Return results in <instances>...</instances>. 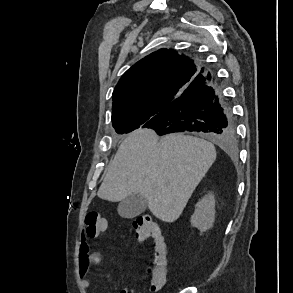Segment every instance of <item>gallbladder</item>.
Returning <instances> with one entry per match:
<instances>
[{"instance_id":"gallbladder-1","label":"gallbladder","mask_w":293,"mask_h":293,"mask_svg":"<svg viewBox=\"0 0 293 293\" xmlns=\"http://www.w3.org/2000/svg\"><path fill=\"white\" fill-rule=\"evenodd\" d=\"M148 207V201L145 196L134 193L122 200L118 205V214L126 219L134 218L140 215Z\"/></svg>"}]
</instances>
